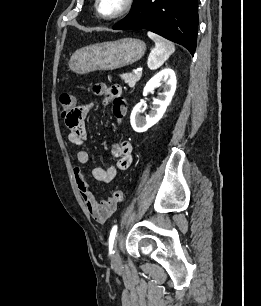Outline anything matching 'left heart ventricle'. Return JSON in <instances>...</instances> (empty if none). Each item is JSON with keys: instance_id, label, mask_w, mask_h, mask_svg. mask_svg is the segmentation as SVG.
I'll return each instance as SVG.
<instances>
[{"instance_id": "left-heart-ventricle-1", "label": "left heart ventricle", "mask_w": 261, "mask_h": 306, "mask_svg": "<svg viewBox=\"0 0 261 306\" xmlns=\"http://www.w3.org/2000/svg\"><path fill=\"white\" fill-rule=\"evenodd\" d=\"M123 0H100L99 7L103 14L111 15L122 6Z\"/></svg>"}]
</instances>
